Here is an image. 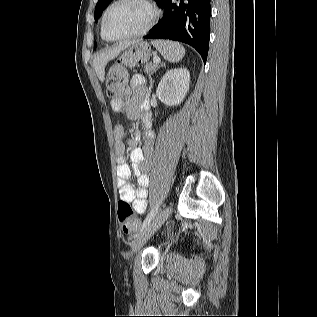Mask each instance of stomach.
I'll return each instance as SVG.
<instances>
[{"instance_id": "obj_1", "label": "stomach", "mask_w": 317, "mask_h": 317, "mask_svg": "<svg viewBox=\"0 0 317 317\" xmlns=\"http://www.w3.org/2000/svg\"><path fill=\"white\" fill-rule=\"evenodd\" d=\"M150 55L151 48L148 43L135 42L115 60L114 65H118L119 68H128V70H131L133 66H147Z\"/></svg>"}]
</instances>
